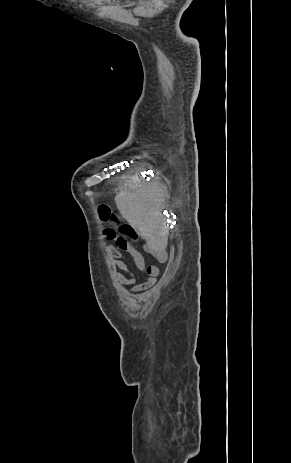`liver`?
I'll use <instances>...</instances> for the list:
<instances>
[{
	"label": "liver",
	"mask_w": 291,
	"mask_h": 463,
	"mask_svg": "<svg viewBox=\"0 0 291 463\" xmlns=\"http://www.w3.org/2000/svg\"><path fill=\"white\" fill-rule=\"evenodd\" d=\"M115 203L121 215L146 240L145 249L154 256L164 253L168 243V228L160 211V187L142 184L133 178L128 187L116 195Z\"/></svg>",
	"instance_id": "obj_1"
}]
</instances>
